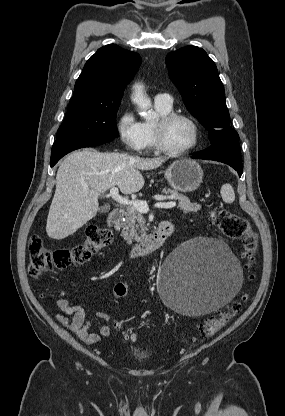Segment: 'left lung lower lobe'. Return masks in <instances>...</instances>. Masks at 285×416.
<instances>
[{
	"mask_svg": "<svg viewBox=\"0 0 285 416\" xmlns=\"http://www.w3.org/2000/svg\"><path fill=\"white\" fill-rule=\"evenodd\" d=\"M193 159H206L222 162L234 168L239 177L243 173L239 140L216 143L213 146L195 153Z\"/></svg>",
	"mask_w": 285,
	"mask_h": 416,
	"instance_id": "1",
	"label": "left lung lower lobe"
}]
</instances>
